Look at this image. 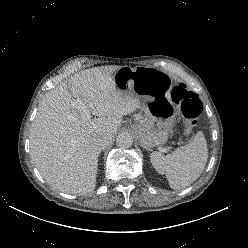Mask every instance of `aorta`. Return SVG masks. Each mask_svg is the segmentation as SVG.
<instances>
[{
	"label": "aorta",
	"instance_id": "obj_1",
	"mask_svg": "<svg viewBox=\"0 0 248 248\" xmlns=\"http://www.w3.org/2000/svg\"><path fill=\"white\" fill-rule=\"evenodd\" d=\"M116 143L120 148L127 149L132 146L133 138L128 132H121L116 138Z\"/></svg>",
	"mask_w": 248,
	"mask_h": 248
}]
</instances>
